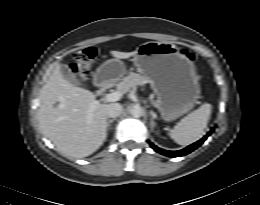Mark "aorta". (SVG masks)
<instances>
[{
	"label": "aorta",
	"mask_w": 260,
	"mask_h": 205,
	"mask_svg": "<svg viewBox=\"0 0 260 205\" xmlns=\"http://www.w3.org/2000/svg\"><path fill=\"white\" fill-rule=\"evenodd\" d=\"M129 113L133 117L139 118L143 115V109L139 105H134L133 107L130 108Z\"/></svg>",
	"instance_id": "aorta-1"
}]
</instances>
